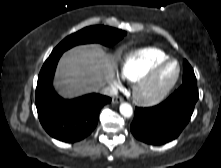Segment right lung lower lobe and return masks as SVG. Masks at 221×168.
Segmentation results:
<instances>
[{
  "label": "right lung lower lobe",
  "mask_w": 221,
  "mask_h": 168,
  "mask_svg": "<svg viewBox=\"0 0 221 168\" xmlns=\"http://www.w3.org/2000/svg\"><path fill=\"white\" fill-rule=\"evenodd\" d=\"M61 53L51 54L38 76L35 102L45 131L55 139L73 143L87 137L96 127L101 108L111 102L107 96L88 94L76 99L60 97L52 86Z\"/></svg>",
  "instance_id": "right-lung-lower-lobe-1"
}]
</instances>
